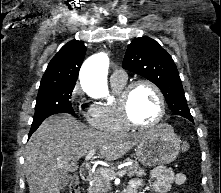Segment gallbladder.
Listing matches in <instances>:
<instances>
[{"label": "gallbladder", "instance_id": "bac80fb5", "mask_svg": "<svg viewBox=\"0 0 221 193\" xmlns=\"http://www.w3.org/2000/svg\"><path fill=\"white\" fill-rule=\"evenodd\" d=\"M70 179H71V176H69V175H66L64 178L61 179L60 186L62 189L68 185Z\"/></svg>", "mask_w": 221, "mask_h": 193}]
</instances>
